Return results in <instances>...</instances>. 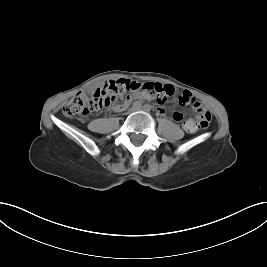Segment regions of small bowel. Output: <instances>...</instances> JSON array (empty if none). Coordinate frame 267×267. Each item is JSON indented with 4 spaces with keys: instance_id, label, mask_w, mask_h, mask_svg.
I'll use <instances>...</instances> for the list:
<instances>
[{
    "instance_id": "c3829d8e",
    "label": "small bowel",
    "mask_w": 267,
    "mask_h": 267,
    "mask_svg": "<svg viewBox=\"0 0 267 267\" xmlns=\"http://www.w3.org/2000/svg\"><path fill=\"white\" fill-rule=\"evenodd\" d=\"M133 97L129 98V99H126V102L120 104V105H117L115 106L113 109L114 111H124L128 106H129V101L132 99ZM202 107L204 109H206L203 105ZM158 113L160 114H164L165 113V110L163 108H158ZM174 114H180V118L178 120H175L173 119V115ZM172 115V119L175 121V122H182V126L183 128L187 131V132H190V133H194L197 131V126L195 125V123L193 122L192 119H186V120H183V115L179 112H175L173 113Z\"/></svg>"
}]
</instances>
